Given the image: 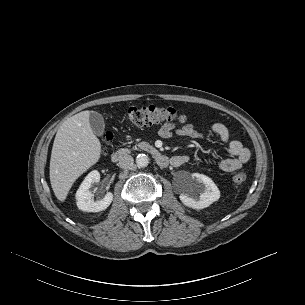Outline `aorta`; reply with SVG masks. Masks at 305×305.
Returning <instances> with one entry per match:
<instances>
[{
	"mask_svg": "<svg viewBox=\"0 0 305 305\" xmlns=\"http://www.w3.org/2000/svg\"><path fill=\"white\" fill-rule=\"evenodd\" d=\"M136 163L139 167H146L149 164V158L146 154H139L136 157Z\"/></svg>",
	"mask_w": 305,
	"mask_h": 305,
	"instance_id": "1",
	"label": "aorta"
}]
</instances>
